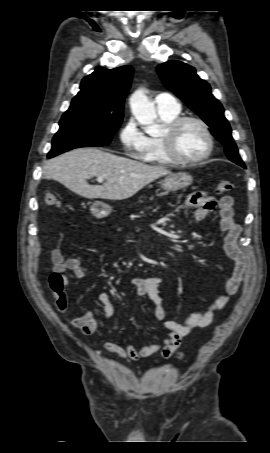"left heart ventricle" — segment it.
Listing matches in <instances>:
<instances>
[{
	"mask_svg": "<svg viewBox=\"0 0 270 453\" xmlns=\"http://www.w3.org/2000/svg\"><path fill=\"white\" fill-rule=\"evenodd\" d=\"M175 150L183 158H196L207 148L206 136L202 128L193 122L185 123L178 131Z\"/></svg>",
	"mask_w": 270,
	"mask_h": 453,
	"instance_id": "b2bd125f",
	"label": "left heart ventricle"
}]
</instances>
